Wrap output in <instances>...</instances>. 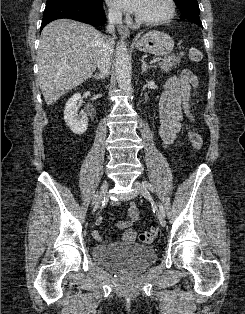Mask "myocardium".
<instances>
[{
    "label": "myocardium",
    "instance_id": "f54148a6",
    "mask_svg": "<svg viewBox=\"0 0 245 314\" xmlns=\"http://www.w3.org/2000/svg\"><path fill=\"white\" fill-rule=\"evenodd\" d=\"M165 2L167 4V11L165 14L154 19H143L137 16L136 18L137 23L144 26H156L172 19L176 12L175 0H165Z\"/></svg>",
    "mask_w": 245,
    "mask_h": 314
}]
</instances>
